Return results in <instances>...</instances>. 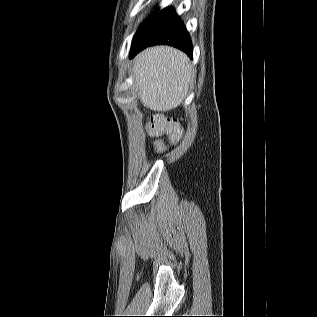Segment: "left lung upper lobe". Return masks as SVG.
<instances>
[{"mask_svg": "<svg viewBox=\"0 0 317 317\" xmlns=\"http://www.w3.org/2000/svg\"><path fill=\"white\" fill-rule=\"evenodd\" d=\"M153 16V15H152ZM152 17H150L147 21H145L137 30L136 34L142 29V27L151 19ZM135 34V35H136Z\"/></svg>", "mask_w": 317, "mask_h": 317, "instance_id": "5c2ea615", "label": "left lung upper lobe"}]
</instances>
